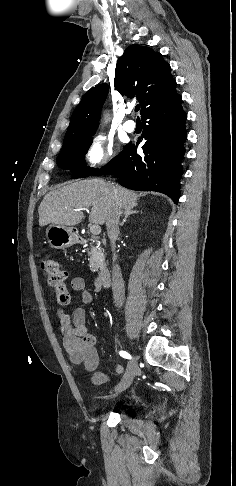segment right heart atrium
Here are the masks:
<instances>
[{
  "mask_svg": "<svg viewBox=\"0 0 236 486\" xmlns=\"http://www.w3.org/2000/svg\"><path fill=\"white\" fill-rule=\"evenodd\" d=\"M114 154V142L105 134H98L88 145L85 160L90 167H99L108 163Z\"/></svg>",
  "mask_w": 236,
  "mask_h": 486,
  "instance_id": "obj_1",
  "label": "right heart atrium"
}]
</instances>
